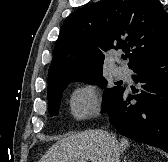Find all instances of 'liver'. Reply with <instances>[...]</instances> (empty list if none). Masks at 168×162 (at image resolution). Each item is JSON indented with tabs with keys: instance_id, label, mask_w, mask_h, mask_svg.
Wrapping results in <instances>:
<instances>
[{
	"instance_id": "obj_1",
	"label": "liver",
	"mask_w": 168,
	"mask_h": 162,
	"mask_svg": "<svg viewBox=\"0 0 168 162\" xmlns=\"http://www.w3.org/2000/svg\"><path fill=\"white\" fill-rule=\"evenodd\" d=\"M110 137V133L100 129L69 135L55 143L39 162H110ZM118 145L123 152L129 141L122 138Z\"/></svg>"
}]
</instances>
